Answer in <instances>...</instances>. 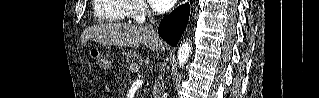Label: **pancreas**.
Wrapping results in <instances>:
<instances>
[{
	"label": "pancreas",
	"mask_w": 319,
	"mask_h": 98,
	"mask_svg": "<svg viewBox=\"0 0 319 98\" xmlns=\"http://www.w3.org/2000/svg\"><path fill=\"white\" fill-rule=\"evenodd\" d=\"M124 56L126 58V61L129 62L135 58H138V53L137 52H127V53H124Z\"/></svg>",
	"instance_id": "obj_1"
}]
</instances>
